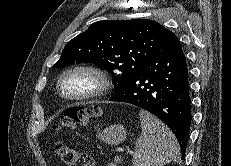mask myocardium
Returning a JSON list of instances; mask_svg holds the SVG:
<instances>
[{
	"label": "myocardium",
	"instance_id": "f54148a6",
	"mask_svg": "<svg viewBox=\"0 0 231 166\" xmlns=\"http://www.w3.org/2000/svg\"><path fill=\"white\" fill-rule=\"evenodd\" d=\"M85 74L91 78L93 85L90 89L80 93H65L62 89L63 81L73 74ZM111 87L109 74L101 67L94 64H75L63 70L56 81L58 95L67 101H84L105 95Z\"/></svg>",
	"mask_w": 231,
	"mask_h": 166
}]
</instances>
